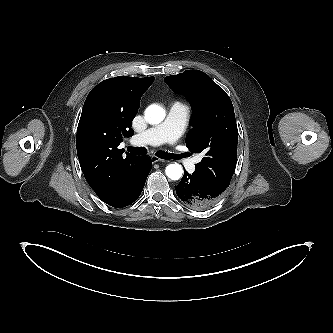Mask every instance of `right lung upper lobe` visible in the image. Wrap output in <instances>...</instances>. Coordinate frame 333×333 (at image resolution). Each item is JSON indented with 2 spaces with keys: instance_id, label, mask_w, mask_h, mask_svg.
I'll list each match as a JSON object with an SVG mask.
<instances>
[{
  "instance_id": "cb5924a9",
  "label": "right lung upper lobe",
  "mask_w": 333,
  "mask_h": 333,
  "mask_svg": "<svg viewBox=\"0 0 333 333\" xmlns=\"http://www.w3.org/2000/svg\"><path fill=\"white\" fill-rule=\"evenodd\" d=\"M154 77L118 76L95 86L88 94L77 129L76 148L84 176L102 201L110 205L123 194L131 167L141 156L118 149L131 137V122L143 93Z\"/></svg>"
}]
</instances>
